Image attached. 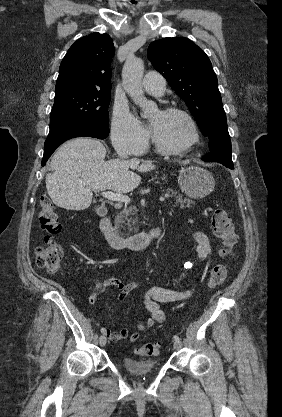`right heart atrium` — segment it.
Returning <instances> with one entry per match:
<instances>
[{
	"mask_svg": "<svg viewBox=\"0 0 282 417\" xmlns=\"http://www.w3.org/2000/svg\"><path fill=\"white\" fill-rule=\"evenodd\" d=\"M149 131L122 105H116L111 122V140L117 152L125 155L142 154L149 142Z\"/></svg>",
	"mask_w": 282,
	"mask_h": 417,
	"instance_id": "obj_1",
	"label": "right heart atrium"
}]
</instances>
